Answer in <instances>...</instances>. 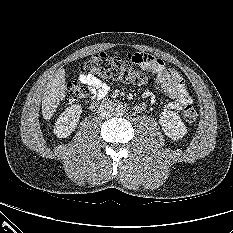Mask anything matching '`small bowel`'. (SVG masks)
Here are the masks:
<instances>
[{
	"instance_id": "small-bowel-1",
	"label": "small bowel",
	"mask_w": 233,
	"mask_h": 233,
	"mask_svg": "<svg viewBox=\"0 0 233 233\" xmlns=\"http://www.w3.org/2000/svg\"><path fill=\"white\" fill-rule=\"evenodd\" d=\"M129 57L140 59L142 69L156 74L155 83L157 87L171 98V101L166 104L167 109L181 110L192 103V98L181 75L176 70L167 68L161 59L147 54H134ZM79 81L88 88L92 99L101 100L107 96L110 90L108 83L92 74H80ZM143 107V105H139L137 109L142 110Z\"/></svg>"
}]
</instances>
